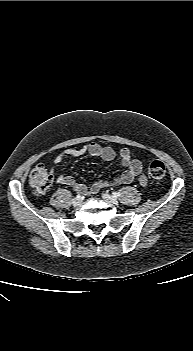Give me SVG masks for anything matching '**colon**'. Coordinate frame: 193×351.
I'll return each instance as SVG.
<instances>
[{"label":"colon","mask_w":193,"mask_h":351,"mask_svg":"<svg viewBox=\"0 0 193 351\" xmlns=\"http://www.w3.org/2000/svg\"><path fill=\"white\" fill-rule=\"evenodd\" d=\"M149 174L155 180H162L166 176V166L160 160H154L149 165ZM53 180V175L43 165L36 166L29 176V183L35 193L45 194Z\"/></svg>","instance_id":"5ec220e1"}]
</instances>
